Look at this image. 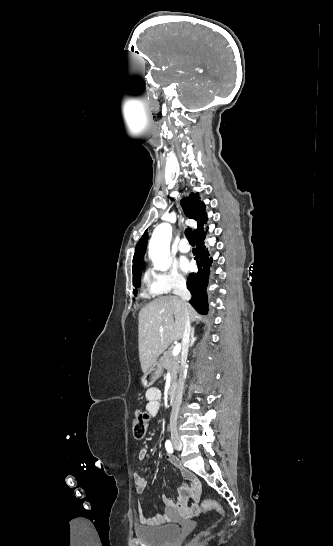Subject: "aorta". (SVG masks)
<instances>
[{"mask_svg": "<svg viewBox=\"0 0 333 546\" xmlns=\"http://www.w3.org/2000/svg\"><path fill=\"white\" fill-rule=\"evenodd\" d=\"M171 236V225L162 223L153 231L149 243V257L152 259L154 266L161 271H167L171 264L168 256Z\"/></svg>", "mask_w": 333, "mask_h": 546, "instance_id": "1", "label": "aorta"}]
</instances>
